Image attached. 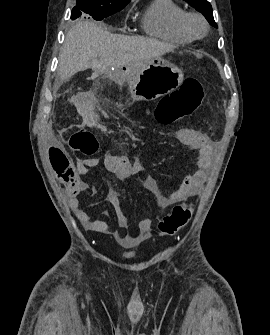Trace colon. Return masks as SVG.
Instances as JSON below:
<instances>
[{
  "label": "colon",
  "instance_id": "colon-1",
  "mask_svg": "<svg viewBox=\"0 0 270 335\" xmlns=\"http://www.w3.org/2000/svg\"><path fill=\"white\" fill-rule=\"evenodd\" d=\"M201 84L193 78H188L183 84L164 95L157 104L153 114L162 126L177 123L192 113L201 102ZM70 148L87 157L94 156L99 150V142L94 133L89 130L74 132L69 139ZM191 217V208L185 204H177L170 214L160 221V229L164 234L172 235L184 227Z\"/></svg>",
  "mask_w": 270,
  "mask_h": 335
}]
</instances>
